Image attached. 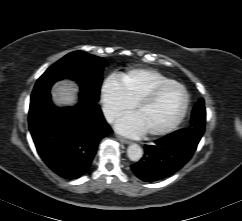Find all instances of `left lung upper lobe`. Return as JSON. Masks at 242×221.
I'll return each instance as SVG.
<instances>
[{
	"mask_svg": "<svg viewBox=\"0 0 242 221\" xmlns=\"http://www.w3.org/2000/svg\"><path fill=\"white\" fill-rule=\"evenodd\" d=\"M206 121V112L204 107V100L200 99L194 106L189 128L197 129L204 132Z\"/></svg>",
	"mask_w": 242,
	"mask_h": 221,
	"instance_id": "5c2ea615",
	"label": "left lung upper lobe"
}]
</instances>
